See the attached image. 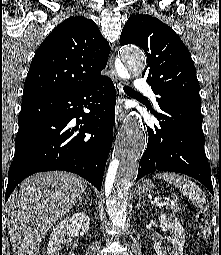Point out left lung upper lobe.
I'll use <instances>...</instances> for the list:
<instances>
[{
    "label": "left lung upper lobe",
    "mask_w": 221,
    "mask_h": 255,
    "mask_svg": "<svg viewBox=\"0 0 221 255\" xmlns=\"http://www.w3.org/2000/svg\"><path fill=\"white\" fill-rule=\"evenodd\" d=\"M120 44H135L146 53L148 64L142 77L158 95V105L173 104L201 114L194 63L171 27L150 15H133L122 30Z\"/></svg>",
    "instance_id": "5c2ea615"
}]
</instances>
